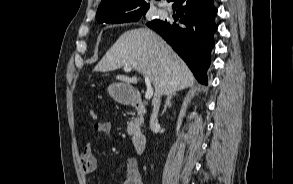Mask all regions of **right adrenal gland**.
I'll list each match as a JSON object with an SVG mask.
<instances>
[{
	"label": "right adrenal gland",
	"instance_id": "1",
	"mask_svg": "<svg viewBox=\"0 0 293 184\" xmlns=\"http://www.w3.org/2000/svg\"><path fill=\"white\" fill-rule=\"evenodd\" d=\"M176 95H177L176 93H172V94H169V95H168V97H167V99H166V102H165V105H164V107H163V110H162V112H161V115H163V114L165 113L166 109L172 105L171 100H172V98H173L174 96H176Z\"/></svg>",
	"mask_w": 293,
	"mask_h": 184
}]
</instances>
